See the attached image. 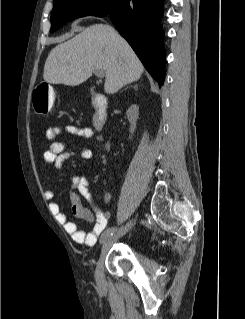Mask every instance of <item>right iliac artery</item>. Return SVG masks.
<instances>
[{
    "mask_svg": "<svg viewBox=\"0 0 245 319\" xmlns=\"http://www.w3.org/2000/svg\"><path fill=\"white\" fill-rule=\"evenodd\" d=\"M118 229L115 227H111L109 229H107V233L112 236L114 232H116Z\"/></svg>",
    "mask_w": 245,
    "mask_h": 319,
    "instance_id": "right-iliac-artery-1",
    "label": "right iliac artery"
}]
</instances>
